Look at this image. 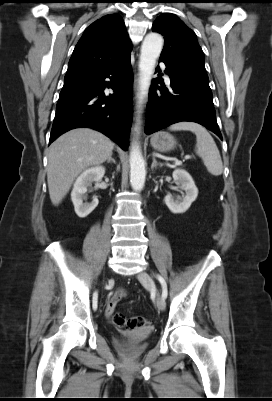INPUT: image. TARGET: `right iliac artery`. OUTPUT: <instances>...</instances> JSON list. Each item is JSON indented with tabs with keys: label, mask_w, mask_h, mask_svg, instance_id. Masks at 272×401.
<instances>
[{
	"label": "right iliac artery",
	"mask_w": 272,
	"mask_h": 401,
	"mask_svg": "<svg viewBox=\"0 0 272 401\" xmlns=\"http://www.w3.org/2000/svg\"><path fill=\"white\" fill-rule=\"evenodd\" d=\"M98 300V294H97V292H95L94 294H93V309L94 310H96L97 309V301Z\"/></svg>",
	"instance_id": "82829eb1"
}]
</instances>
